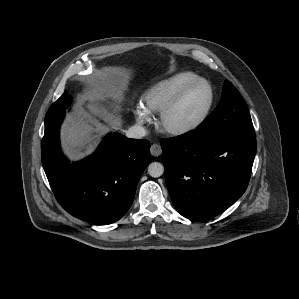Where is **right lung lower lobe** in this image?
Wrapping results in <instances>:
<instances>
[{
    "instance_id": "1",
    "label": "right lung lower lobe",
    "mask_w": 299,
    "mask_h": 299,
    "mask_svg": "<svg viewBox=\"0 0 299 299\" xmlns=\"http://www.w3.org/2000/svg\"><path fill=\"white\" fill-rule=\"evenodd\" d=\"M64 117L65 110L47 112L41 142L43 168L57 201L71 215L91 223L118 221L131 206L150 163V143L109 134L92 155L71 164L60 149Z\"/></svg>"
}]
</instances>
